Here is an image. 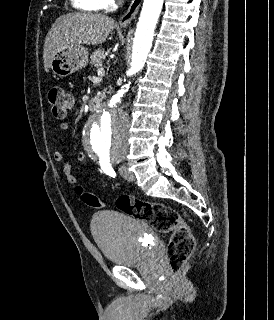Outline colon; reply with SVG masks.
I'll return each instance as SVG.
<instances>
[{"mask_svg":"<svg viewBox=\"0 0 274 320\" xmlns=\"http://www.w3.org/2000/svg\"><path fill=\"white\" fill-rule=\"evenodd\" d=\"M48 101L53 115L57 118H63L72 105L71 97L63 87L50 88ZM76 192L82 196L87 205L97 204V199L83 192L80 187H76ZM99 205L102 208L107 207V202L99 201ZM115 206L127 215L149 224L159 233H171V241L168 246V266L173 273L183 270L194 252L196 243L190 226L182 221L177 210L161 202L127 196L117 198Z\"/></svg>","mask_w":274,"mask_h":320,"instance_id":"obj_1","label":"colon"}]
</instances>
